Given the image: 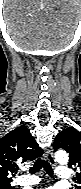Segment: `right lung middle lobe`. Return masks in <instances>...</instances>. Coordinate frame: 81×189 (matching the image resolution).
Here are the masks:
<instances>
[{"label":"right lung middle lobe","instance_id":"dd1d6c3e","mask_svg":"<svg viewBox=\"0 0 81 189\" xmlns=\"http://www.w3.org/2000/svg\"><path fill=\"white\" fill-rule=\"evenodd\" d=\"M0 189H15V187H13L10 184H8V185H2V186H0Z\"/></svg>","mask_w":81,"mask_h":189}]
</instances>
